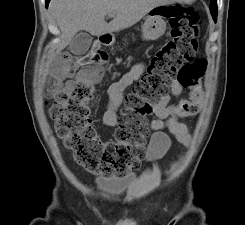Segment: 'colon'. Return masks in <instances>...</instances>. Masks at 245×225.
I'll list each match as a JSON object with an SVG mask.
<instances>
[{"instance_id": "1", "label": "colon", "mask_w": 245, "mask_h": 225, "mask_svg": "<svg viewBox=\"0 0 245 225\" xmlns=\"http://www.w3.org/2000/svg\"><path fill=\"white\" fill-rule=\"evenodd\" d=\"M171 40L151 58L145 73L134 84L127 97L124 113L118 119L115 142L103 146L91 124L93 87L86 82L95 74L74 76L77 57L65 56L64 62L50 79L47 92L55 97L50 117L56 135L63 140L73 159L88 172L101 176L123 177L145 155L149 128L147 117L152 106L167 95L174 80L190 90V97L178 103V116L197 115L202 107L201 80L206 64L195 60L200 34V16L192 7L174 5L167 8ZM108 54L93 48L82 63L94 67L105 66ZM181 159L172 163L169 172L177 173Z\"/></svg>"}]
</instances>
